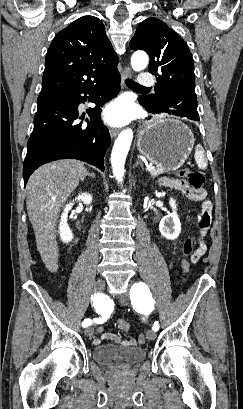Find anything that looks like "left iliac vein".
Here are the masks:
<instances>
[{
  "label": "left iliac vein",
  "instance_id": "left-iliac-vein-1",
  "mask_svg": "<svg viewBox=\"0 0 243 409\" xmlns=\"http://www.w3.org/2000/svg\"><path fill=\"white\" fill-rule=\"evenodd\" d=\"M119 301L125 306L130 304L129 296L127 294L121 295ZM146 336L149 340H154L156 338V332L154 330H148Z\"/></svg>",
  "mask_w": 243,
  "mask_h": 409
}]
</instances>
